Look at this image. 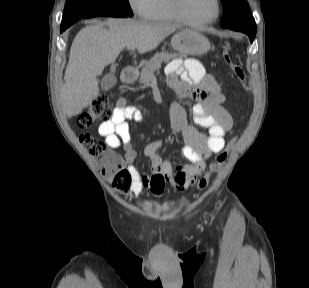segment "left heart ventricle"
<instances>
[{
    "label": "left heart ventricle",
    "instance_id": "obj_1",
    "mask_svg": "<svg viewBox=\"0 0 309 288\" xmlns=\"http://www.w3.org/2000/svg\"><path fill=\"white\" fill-rule=\"evenodd\" d=\"M183 12L193 21H203L215 14V0H183Z\"/></svg>",
    "mask_w": 309,
    "mask_h": 288
}]
</instances>
